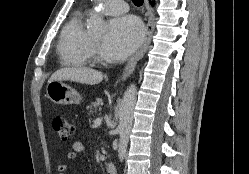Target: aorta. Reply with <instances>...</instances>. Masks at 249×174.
<instances>
[{
	"instance_id": "aorta-1",
	"label": "aorta",
	"mask_w": 249,
	"mask_h": 174,
	"mask_svg": "<svg viewBox=\"0 0 249 174\" xmlns=\"http://www.w3.org/2000/svg\"><path fill=\"white\" fill-rule=\"evenodd\" d=\"M101 2L103 0H97ZM106 30V23L102 17L94 15L89 19L88 31L91 34H101ZM137 89L135 84H131L124 92L119 109L118 133L120 136L118 145V156L120 161L126 156L127 144L133 124V114L136 104Z\"/></svg>"
}]
</instances>
